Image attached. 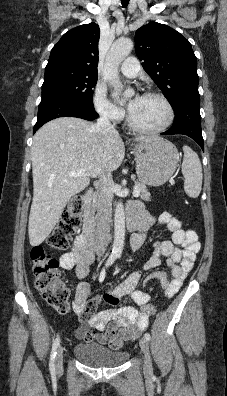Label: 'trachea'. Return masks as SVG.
Instances as JSON below:
<instances>
[{
  "label": "trachea",
  "instance_id": "3493384b",
  "mask_svg": "<svg viewBox=\"0 0 227 396\" xmlns=\"http://www.w3.org/2000/svg\"><path fill=\"white\" fill-rule=\"evenodd\" d=\"M129 3V0H121V4L123 7H126Z\"/></svg>",
  "mask_w": 227,
  "mask_h": 396
}]
</instances>
